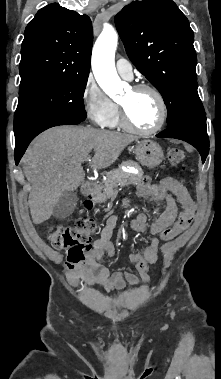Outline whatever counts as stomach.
I'll use <instances>...</instances> for the list:
<instances>
[{
  "instance_id": "stomach-1",
  "label": "stomach",
  "mask_w": 221,
  "mask_h": 379,
  "mask_svg": "<svg viewBox=\"0 0 221 379\" xmlns=\"http://www.w3.org/2000/svg\"><path fill=\"white\" fill-rule=\"evenodd\" d=\"M135 154L138 161L149 168L158 166L164 159L160 145L149 139L137 142Z\"/></svg>"
}]
</instances>
